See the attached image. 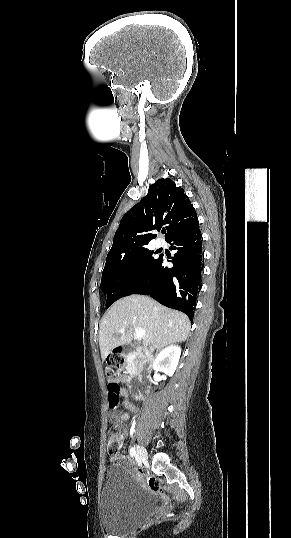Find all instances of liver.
Masks as SVG:
<instances>
[{
  "mask_svg": "<svg viewBox=\"0 0 291 538\" xmlns=\"http://www.w3.org/2000/svg\"><path fill=\"white\" fill-rule=\"evenodd\" d=\"M145 332L143 344L161 349L168 345L184 342L190 332L189 318L171 310L147 296L131 295L115 302L105 313L99 330V346L102 360L115 348L130 344L133 329ZM121 328H125L123 333ZM119 334V336H118Z\"/></svg>",
  "mask_w": 291,
  "mask_h": 538,
  "instance_id": "obj_1",
  "label": "liver"
}]
</instances>
